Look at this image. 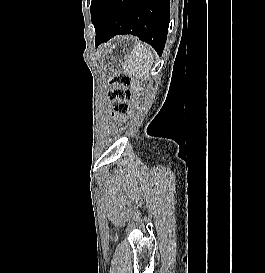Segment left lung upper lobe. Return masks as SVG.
<instances>
[{
    "label": "left lung upper lobe",
    "mask_w": 265,
    "mask_h": 273,
    "mask_svg": "<svg viewBox=\"0 0 265 273\" xmlns=\"http://www.w3.org/2000/svg\"><path fill=\"white\" fill-rule=\"evenodd\" d=\"M104 17H105V14L103 10L91 8L92 23L94 24L95 27L102 24Z\"/></svg>",
    "instance_id": "5c2ea615"
}]
</instances>
